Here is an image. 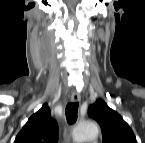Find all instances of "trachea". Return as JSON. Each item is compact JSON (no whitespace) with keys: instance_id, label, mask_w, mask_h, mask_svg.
Instances as JSON below:
<instances>
[{"instance_id":"obj_1","label":"trachea","mask_w":145,"mask_h":143,"mask_svg":"<svg viewBox=\"0 0 145 143\" xmlns=\"http://www.w3.org/2000/svg\"><path fill=\"white\" fill-rule=\"evenodd\" d=\"M78 106H79L78 102L69 103L66 106L65 113H66L67 122L69 124H74L76 122V120H77V113H78Z\"/></svg>"}]
</instances>
